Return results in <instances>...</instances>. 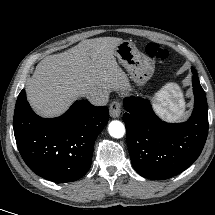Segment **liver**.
I'll return each mask as SVG.
<instances>
[{"label":"liver","instance_id":"6515ba94","mask_svg":"<svg viewBox=\"0 0 215 215\" xmlns=\"http://www.w3.org/2000/svg\"><path fill=\"white\" fill-rule=\"evenodd\" d=\"M122 41L116 37L83 40L63 53L44 58L26 84L34 111L43 117H56L78 96L127 90L129 80L114 57Z\"/></svg>","mask_w":215,"mask_h":215}]
</instances>
